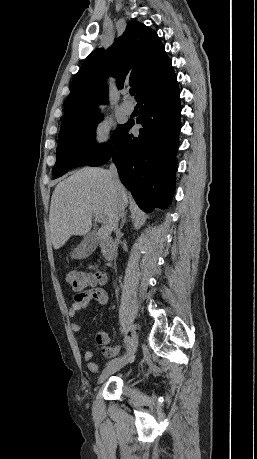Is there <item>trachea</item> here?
<instances>
[{"mask_svg": "<svg viewBox=\"0 0 257 459\" xmlns=\"http://www.w3.org/2000/svg\"><path fill=\"white\" fill-rule=\"evenodd\" d=\"M129 92L131 95H135V89H130Z\"/></svg>", "mask_w": 257, "mask_h": 459, "instance_id": "3493384b", "label": "trachea"}]
</instances>
